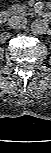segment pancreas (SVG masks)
Listing matches in <instances>:
<instances>
[{"instance_id":"cf45deb5","label":"pancreas","mask_w":51,"mask_h":153,"mask_svg":"<svg viewBox=\"0 0 51 153\" xmlns=\"http://www.w3.org/2000/svg\"><path fill=\"white\" fill-rule=\"evenodd\" d=\"M26 5L14 4L9 8V12L12 15L16 14H30V11H27Z\"/></svg>"}]
</instances>
